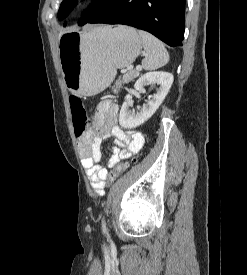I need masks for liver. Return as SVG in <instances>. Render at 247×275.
Masks as SVG:
<instances>
[{"label":"liver","instance_id":"obj_1","mask_svg":"<svg viewBox=\"0 0 247 275\" xmlns=\"http://www.w3.org/2000/svg\"><path fill=\"white\" fill-rule=\"evenodd\" d=\"M62 34H64V32H61V33L59 34V38L62 36Z\"/></svg>","mask_w":247,"mask_h":275}]
</instances>
